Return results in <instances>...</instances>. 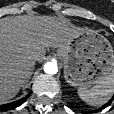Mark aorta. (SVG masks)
Masks as SVG:
<instances>
[{
    "mask_svg": "<svg viewBox=\"0 0 114 114\" xmlns=\"http://www.w3.org/2000/svg\"><path fill=\"white\" fill-rule=\"evenodd\" d=\"M57 71H58V67L55 62H47L44 65V72L47 74H56Z\"/></svg>",
    "mask_w": 114,
    "mask_h": 114,
    "instance_id": "obj_1",
    "label": "aorta"
}]
</instances>
